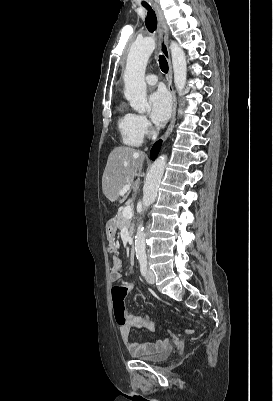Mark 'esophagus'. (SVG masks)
<instances>
[{
    "instance_id": "1",
    "label": "esophagus",
    "mask_w": 273,
    "mask_h": 401,
    "mask_svg": "<svg viewBox=\"0 0 273 401\" xmlns=\"http://www.w3.org/2000/svg\"><path fill=\"white\" fill-rule=\"evenodd\" d=\"M157 19H158V40H159V49L160 52L164 55L166 58L168 65H169V71L167 75V81H168V90L171 94L172 97V111H171V120L170 123L167 127V130L165 131L163 135V140H166L170 133L173 130L174 124H175V117H176V96L175 92L173 90V78H172V65H171V58H170V53H169V48H168V38H169V33H168V28H167V23L165 20V17L163 15L162 10H160L158 5H153Z\"/></svg>"
}]
</instances>
